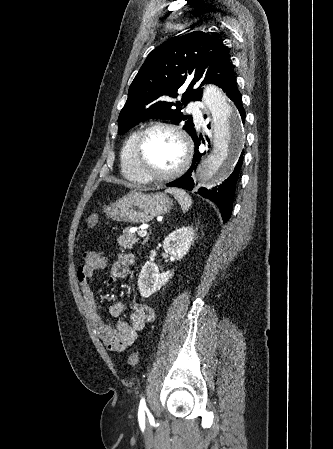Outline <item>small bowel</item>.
I'll use <instances>...</instances> for the list:
<instances>
[{"instance_id":"c3829d8e","label":"small bowel","mask_w":333,"mask_h":449,"mask_svg":"<svg viewBox=\"0 0 333 449\" xmlns=\"http://www.w3.org/2000/svg\"><path fill=\"white\" fill-rule=\"evenodd\" d=\"M132 262L133 259L130 255H119L117 260L111 264L107 285H112L125 277ZM107 263V258L101 253L97 251L86 252L83 254V261L78 267L77 277L87 316L99 338L108 349L119 352L135 343L138 333L154 319V309L148 304L136 303L130 310L129 318L125 320L119 317L126 308L121 303H115L111 306L110 312L119 319L114 327L107 324L101 316L100 308L89 282L95 271L104 269Z\"/></svg>"}]
</instances>
